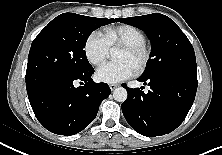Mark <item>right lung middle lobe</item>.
I'll use <instances>...</instances> for the list:
<instances>
[{"label": "right lung middle lobe", "instance_id": "dd1d6c3e", "mask_svg": "<svg viewBox=\"0 0 222 155\" xmlns=\"http://www.w3.org/2000/svg\"><path fill=\"white\" fill-rule=\"evenodd\" d=\"M115 19L63 13L54 18L32 42L26 70L27 92L55 79H67L87 72L84 51L89 35Z\"/></svg>", "mask_w": 222, "mask_h": 155}]
</instances>
